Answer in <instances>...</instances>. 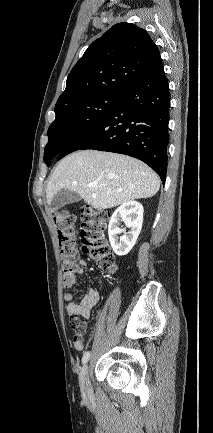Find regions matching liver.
<instances>
[{
  "mask_svg": "<svg viewBox=\"0 0 213 433\" xmlns=\"http://www.w3.org/2000/svg\"><path fill=\"white\" fill-rule=\"evenodd\" d=\"M89 183H97L89 187ZM160 188L158 175L130 156L81 150L65 157L51 175L47 203L62 189L77 192L95 209H108L128 201L154 196Z\"/></svg>",
  "mask_w": 213,
  "mask_h": 433,
  "instance_id": "6515ba94",
  "label": "liver"
}]
</instances>
